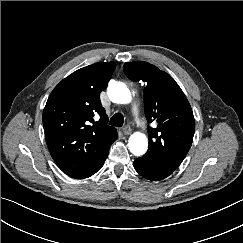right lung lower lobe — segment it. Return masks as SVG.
I'll return each mask as SVG.
<instances>
[{"instance_id": "98d812e1", "label": "right lung lower lobe", "mask_w": 243, "mask_h": 243, "mask_svg": "<svg viewBox=\"0 0 243 243\" xmlns=\"http://www.w3.org/2000/svg\"><path fill=\"white\" fill-rule=\"evenodd\" d=\"M108 152H109V149H108L107 153L104 155V157L100 160V162L92 170H90L88 173L81 175L79 177H73V178L84 179V178H88V177L92 176L93 174H95L104 165V162H105V160L108 156Z\"/></svg>"}]
</instances>
